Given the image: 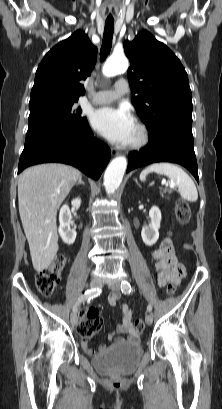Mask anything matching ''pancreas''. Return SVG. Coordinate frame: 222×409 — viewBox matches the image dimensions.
<instances>
[{
  "instance_id": "pancreas-1",
  "label": "pancreas",
  "mask_w": 222,
  "mask_h": 409,
  "mask_svg": "<svg viewBox=\"0 0 222 409\" xmlns=\"http://www.w3.org/2000/svg\"><path fill=\"white\" fill-rule=\"evenodd\" d=\"M167 192L170 193V190H168V189H163V190L160 191L162 197H164V194L167 193Z\"/></svg>"
}]
</instances>
